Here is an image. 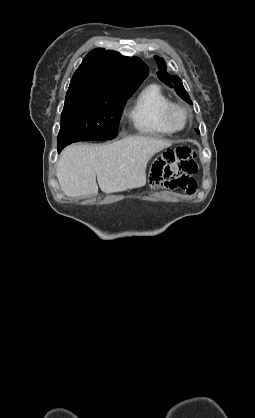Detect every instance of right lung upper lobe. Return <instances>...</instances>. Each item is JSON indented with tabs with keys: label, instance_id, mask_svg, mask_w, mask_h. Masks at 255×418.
Listing matches in <instances>:
<instances>
[{
	"label": "right lung upper lobe",
	"instance_id": "cb5924a9",
	"mask_svg": "<svg viewBox=\"0 0 255 418\" xmlns=\"http://www.w3.org/2000/svg\"><path fill=\"white\" fill-rule=\"evenodd\" d=\"M147 75L148 67L140 58L97 48L86 55L75 71L69 90H136Z\"/></svg>",
	"mask_w": 255,
	"mask_h": 418
}]
</instances>
